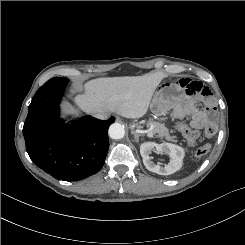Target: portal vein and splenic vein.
Returning a JSON list of instances; mask_svg holds the SVG:
<instances>
[{
	"mask_svg": "<svg viewBox=\"0 0 245 245\" xmlns=\"http://www.w3.org/2000/svg\"><path fill=\"white\" fill-rule=\"evenodd\" d=\"M146 132H147L148 137H150V138L153 137V133H152L151 129L147 130Z\"/></svg>",
	"mask_w": 245,
	"mask_h": 245,
	"instance_id": "1",
	"label": "portal vein and splenic vein"
}]
</instances>
